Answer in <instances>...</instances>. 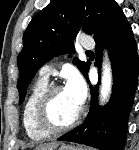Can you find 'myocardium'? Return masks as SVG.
<instances>
[{"label":"myocardium","mask_w":139,"mask_h":150,"mask_svg":"<svg viewBox=\"0 0 139 150\" xmlns=\"http://www.w3.org/2000/svg\"><path fill=\"white\" fill-rule=\"evenodd\" d=\"M61 89H64V87L59 84L48 85L42 92L41 96L39 97L35 107L34 112L35 123L41 131L48 134L60 133L73 129L81 122L84 116V107L81 106L75 118L66 125L58 126L53 124L49 120L47 112L50 100L54 95V93H56Z\"/></svg>","instance_id":"1"}]
</instances>
